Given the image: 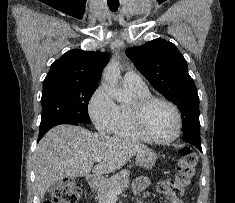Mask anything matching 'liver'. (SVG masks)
I'll return each instance as SVG.
<instances>
[{
	"instance_id": "liver-1",
	"label": "liver",
	"mask_w": 235,
	"mask_h": 203,
	"mask_svg": "<svg viewBox=\"0 0 235 203\" xmlns=\"http://www.w3.org/2000/svg\"><path fill=\"white\" fill-rule=\"evenodd\" d=\"M144 144L90 132L74 125H58L40 140L35 151V184L41 198L49 187L67 177L112 173L123 167ZM102 160L94 165L95 159Z\"/></svg>"
}]
</instances>
